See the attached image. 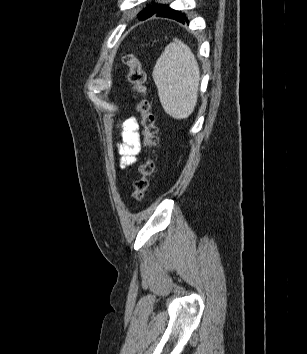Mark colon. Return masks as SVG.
<instances>
[{"label":"colon","mask_w":307,"mask_h":354,"mask_svg":"<svg viewBox=\"0 0 307 354\" xmlns=\"http://www.w3.org/2000/svg\"><path fill=\"white\" fill-rule=\"evenodd\" d=\"M123 60L129 68L128 79L138 99L137 110L141 117L144 145L147 150V156L139 167V177L134 182L133 192L135 200L142 201L148 189L149 177L154 170L152 154L158 144V128L155 116L151 112V101L146 95L145 73L140 60L133 53L125 54Z\"/></svg>","instance_id":"obj_1"}]
</instances>
